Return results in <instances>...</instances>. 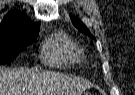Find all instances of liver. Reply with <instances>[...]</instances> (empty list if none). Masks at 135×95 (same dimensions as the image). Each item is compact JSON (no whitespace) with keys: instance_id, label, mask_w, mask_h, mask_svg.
I'll list each match as a JSON object with an SVG mask.
<instances>
[{"instance_id":"6515ba94","label":"liver","mask_w":135,"mask_h":95,"mask_svg":"<svg viewBox=\"0 0 135 95\" xmlns=\"http://www.w3.org/2000/svg\"><path fill=\"white\" fill-rule=\"evenodd\" d=\"M87 86L60 73L0 67V95H80Z\"/></svg>"}]
</instances>
